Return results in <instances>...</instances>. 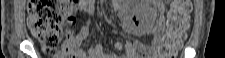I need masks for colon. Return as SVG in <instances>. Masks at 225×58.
I'll list each match as a JSON object with an SVG mask.
<instances>
[{"label": "colon", "mask_w": 225, "mask_h": 58, "mask_svg": "<svg viewBox=\"0 0 225 58\" xmlns=\"http://www.w3.org/2000/svg\"><path fill=\"white\" fill-rule=\"evenodd\" d=\"M190 4L187 0H174L167 13L166 34L157 47L161 57L174 58L186 38ZM77 9L70 0H30L28 3V26L41 49L60 58H73L74 49L67 45L71 32L65 33L64 24L73 23ZM67 40V42H65ZM140 58L153 56V50L143 46Z\"/></svg>", "instance_id": "5ec220e1"}]
</instances>
